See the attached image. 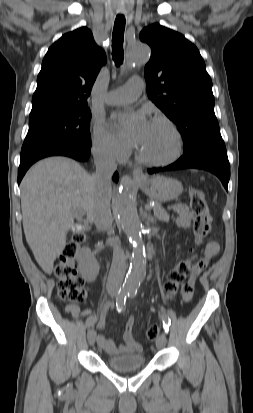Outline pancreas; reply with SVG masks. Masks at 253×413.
Instances as JSON below:
<instances>
[{
    "label": "pancreas",
    "instance_id": "1",
    "mask_svg": "<svg viewBox=\"0 0 253 413\" xmlns=\"http://www.w3.org/2000/svg\"><path fill=\"white\" fill-rule=\"evenodd\" d=\"M153 211H154V216L158 220L165 221V222L169 221V215L166 213V211L164 210V208L160 204H156L153 207Z\"/></svg>",
    "mask_w": 253,
    "mask_h": 413
}]
</instances>
